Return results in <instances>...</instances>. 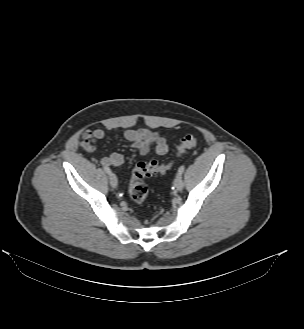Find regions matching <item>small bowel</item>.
<instances>
[{
	"instance_id": "1",
	"label": "small bowel",
	"mask_w": 304,
	"mask_h": 329,
	"mask_svg": "<svg viewBox=\"0 0 304 329\" xmlns=\"http://www.w3.org/2000/svg\"><path fill=\"white\" fill-rule=\"evenodd\" d=\"M106 132L103 129L86 130L82 135L81 147L87 152H93L96 148V141L105 137ZM124 139L129 145L139 151L143 156L150 153L151 147L158 156H164L168 152V143L166 139L148 129H127L123 132ZM101 165L120 167L124 163V158L120 153L113 152L96 160Z\"/></svg>"
}]
</instances>
